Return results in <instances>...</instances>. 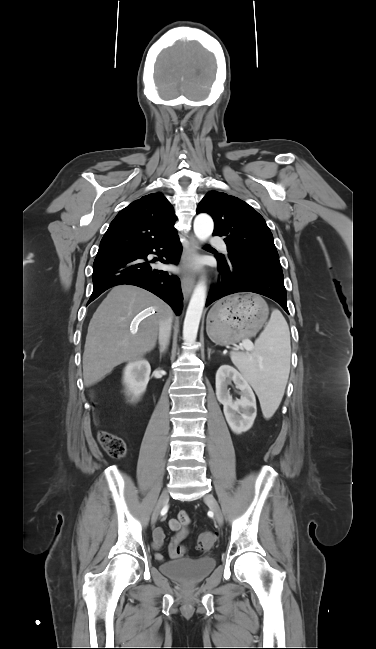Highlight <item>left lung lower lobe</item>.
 <instances>
[{"label": "left lung lower lobe", "instance_id": "obj_1", "mask_svg": "<svg viewBox=\"0 0 376 649\" xmlns=\"http://www.w3.org/2000/svg\"><path fill=\"white\" fill-rule=\"evenodd\" d=\"M230 254V250L228 249ZM220 280L211 290L206 306L237 292H253L276 301L288 314L282 269L260 260L216 256Z\"/></svg>", "mask_w": 376, "mask_h": 649}]
</instances>
